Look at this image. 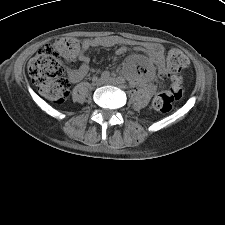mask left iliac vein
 Masks as SVG:
<instances>
[{
	"mask_svg": "<svg viewBox=\"0 0 225 225\" xmlns=\"http://www.w3.org/2000/svg\"><path fill=\"white\" fill-rule=\"evenodd\" d=\"M106 82L109 83V84H117L118 83L117 79H115V78H108L106 80Z\"/></svg>",
	"mask_w": 225,
	"mask_h": 225,
	"instance_id": "left-iliac-vein-1",
	"label": "left iliac vein"
}]
</instances>
